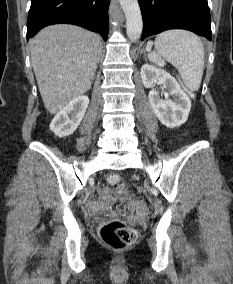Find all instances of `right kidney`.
Here are the masks:
<instances>
[{"label":"right kidney","mask_w":233,"mask_h":284,"mask_svg":"<svg viewBox=\"0 0 233 284\" xmlns=\"http://www.w3.org/2000/svg\"><path fill=\"white\" fill-rule=\"evenodd\" d=\"M88 104L87 96L76 97L57 113L50 124V129L58 137L71 135L80 125Z\"/></svg>","instance_id":"1"}]
</instances>
